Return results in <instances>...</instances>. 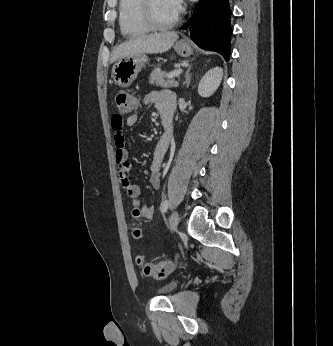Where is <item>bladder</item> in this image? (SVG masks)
<instances>
[{"instance_id": "obj_1", "label": "bladder", "mask_w": 333, "mask_h": 346, "mask_svg": "<svg viewBox=\"0 0 333 346\" xmlns=\"http://www.w3.org/2000/svg\"><path fill=\"white\" fill-rule=\"evenodd\" d=\"M177 285H178V281L176 279L170 280L167 283L163 284L158 289V293H160L162 295H169L170 293H172L175 290Z\"/></svg>"}]
</instances>
